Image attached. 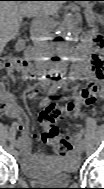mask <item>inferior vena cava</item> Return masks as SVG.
Segmentation results:
<instances>
[{"label":"inferior vena cava","instance_id":"obj_1","mask_svg":"<svg viewBox=\"0 0 104 189\" xmlns=\"http://www.w3.org/2000/svg\"><path fill=\"white\" fill-rule=\"evenodd\" d=\"M31 36L34 41V54L37 61V65L39 66V79L40 83L43 85H48V81L45 80L49 73H47V62L43 61L45 55H47V50L49 43L46 39L48 35V17L43 12L40 11L36 15H34V19L31 24Z\"/></svg>","mask_w":104,"mask_h":189}]
</instances>
